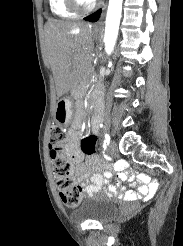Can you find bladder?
Segmentation results:
<instances>
[{
	"label": "bladder",
	"mask_w": 183,
	"mask_h": 246,
	"mask_svg": "<svg viewBox=\"0 0 183 246\" xmlns=\"http://www.w3.org/2000/svg\"><path fill=\"white\" fill-rule=\"evenodd\" d=\"M119 205L116 200L107 197L104 193H96L86 199L74 212L78 219L105 222L111 220L118 212Z\"/></svg>",
	"instance_id": "1"
}]
</instances>
